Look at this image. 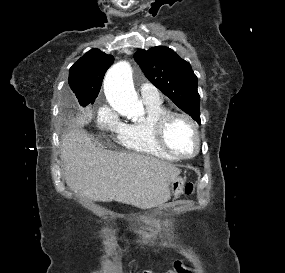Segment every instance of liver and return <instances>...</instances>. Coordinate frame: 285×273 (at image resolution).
Returning a JSON list of instances; mask_svg holds the SVG:
<instances>
[{
  "label": "liver",
  "mask_w": 285,
  "mask_h": 273,
  "mask_svg": "<svg viewBox=\"0 0 285 273\" xmlns=\"http://www.w3.org/2000/svg\"><path fill=\"white\" fill-rule=\"evenodd\" d=\"M60 158L67 186L93 201L153 208L170 199L169 186L180 169L157 158L99 148L82 129L61 139Z\"/></svg>",
  "instance_id": "obj_1"
}]
</instances>
